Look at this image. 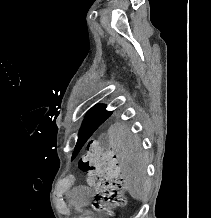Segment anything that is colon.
Segmentation results:
<instances>
[{
  "mask_svg": "<svg viewBox=\"0 0 211 218\" xmlns=\"http://www.w3.org/2000/svg\"><path fill=\"white\" fill-rule=\"evenodd\" d=\"M79 168L87 174L90 186L96 191V208L111 212L126 205L124 180L113 152L91 141L80 159Z\"/></svg>",
  "mask_w": 211,
  "mask_h": 218,
  "instance_id": "5ec220e1",
  "label": "colon"
}]
</instances>
